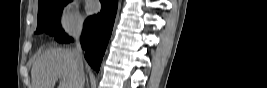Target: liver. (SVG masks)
Wrapping results in <instances>:
<instances>
[{
  "label": "liver",
  "mask_w": 267,
  "mask_h": 88,
  "mask_svg": "<svg viewBox=\"0 0 267 88\" xmlns=\"http://www.w3.org/2000/svg\"><path fill=\"white\" fill-rule=\"evenodd\" d=\"M65 80L58 88H77L79 84L78 64L73 51L52 48L34 62L31 70L32 88H54L58 77Z\"/></svg>",
  "instance_id": "6515ba94"
}]
</instances>
